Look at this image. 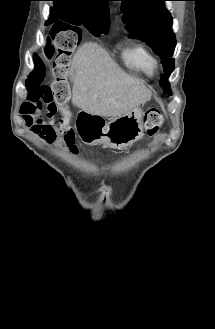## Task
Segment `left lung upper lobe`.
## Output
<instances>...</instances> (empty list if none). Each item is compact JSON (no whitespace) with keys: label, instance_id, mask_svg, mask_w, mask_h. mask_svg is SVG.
<instances>
[{"label":"left lung upper lobe","instance_id":"1","mask_svg":"<svg viewBox=\"0 0 215 329\" xmlns=\"http://www.w3.org/2000/svg\"><path fill=\"white\" fill-rule=\"evenodd\" d=\"M119 1H122L123 22L133 32L130 36L146 41L161 57L165 73L160 85L170 95L168 78L174 70L172 55L176 39L172 31V17L164 5L167 0Z\"/></svg>","mask_w":215,"mask_h":329}]
</instances>
